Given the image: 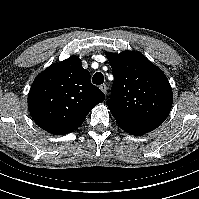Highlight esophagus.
I'll list each match as a JSON object with an SVG mask.
<instances>
[{
	"mask_svg": "<svg viewBox=\"0 0 199 199\" xmlns=\"http://www.w3.org/2000/svg\"><path fill=\"white\" fill-rule=\"evenodd\" d=\"M99 88L103 91L104 94L107 93V86L105 84L100 85Z\"/></svg>",
	"mask_w": 199,
	"mask_h": 199,
	"instance_id": "1",
	"label": "esophagus"
}]
</instances>
